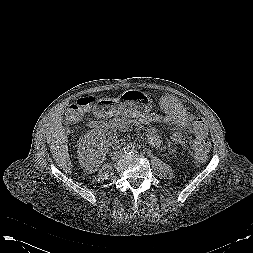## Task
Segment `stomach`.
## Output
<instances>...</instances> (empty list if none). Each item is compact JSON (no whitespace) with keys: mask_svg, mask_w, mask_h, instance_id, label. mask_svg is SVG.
Wrapping results in <instances>:
<instances>
[{"mask_svg":"<svg viewBox=\"0 0 253 253\" xmlns=\"http://www.w3.org/2000/svg\"><path fill=\"white\" fill-rule=\"evenodd\" d=\"M172 100H163L165 107ZM152 109L151 100L148 95L140 90H127L117 98L100 99L95 106L96 112L101 116H109L114 113L128 117H143Z\"/></svg>","mask_w":253,"mask_h":253,"instance_id":"stomach-1","label":"stomach"}]
</instances>
